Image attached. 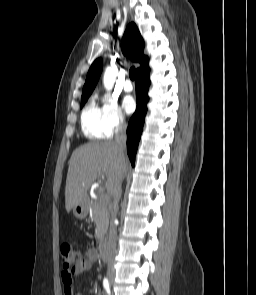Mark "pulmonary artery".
<instances>
[{"instance_id":"obj_1","label":"pulmonary artery","mask_w":256,"mask_h":295,"mask_svg":"<svg viewBox=\"0 0 256 295\" xmlns=\"http://www.w3.org/2000/svg\"><path fill=\"white\" fill-rule=\"evenodd\" d=\"M123 89L126 92H131L133 90V85L130 80L126 79L123 84Z\"/></svg>"}]
</instances>
